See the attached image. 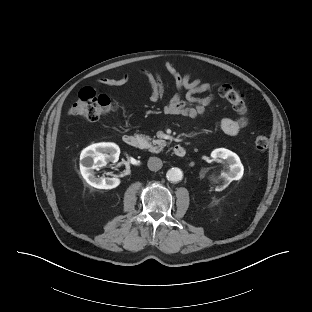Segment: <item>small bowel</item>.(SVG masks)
Here are the masks:
<instances>
[{"label":"small bowel","mask_w":312,"mask_h":312,"mask_svg":"<svg viewBox=\"0 0 312 312\" xmlns=\"http://www.w3.org/2000/svg\"><path fill=\"white\" fill-rule=\"evenodd\" d=\"M168 71L175 79L176 91L172 98L164 108V112L168 115L183 116L187 118L204 117L212 108L214 96L208 94L205 97H196L197 93L210 92V87L202 83L200 80H191L190 76H181L176 69L168 64ZM141 73L147 78L151 86V98L153 101H158L163 95V83L157 72L151 73L146 70H141ZM129 80L127 74L120 78H100L98 82L107 86H122ZM185 98L183 99V93ZM248 119L225 117L221 120V129L224 133L230 136L237 135L246 125Z\"/></svg>","instance_id":"c3829d8e"}]
</instances>
